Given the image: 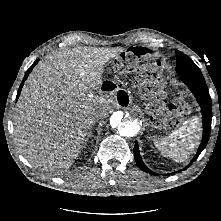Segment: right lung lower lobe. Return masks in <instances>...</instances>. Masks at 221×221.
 Returning <instances> with one entry per match:
<instances>
[{"instance_id":"1","label":"right lung lower lobe","mask_w":221,"mask_h":221,"mask_svg":"<svg viewBox=\"0 0 221 221\" xmlns=\"http://www.w3.org/2000/svg\"><path fill=\"white\" fill-rule=\"evenodd\" d=\"M38 61H39V60H36V61L33 63V65L26 71V74H25V76H24V78H23V81H22V83H21V85H20V87H19V90H18V93H17V98L19 97V94H20L21 89H22V87H23L24 81L27 79L29 73L32 71L33 67L38 63Z\"/></svg>"}]
</instances>
